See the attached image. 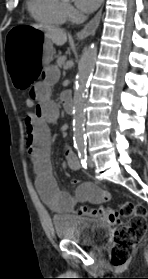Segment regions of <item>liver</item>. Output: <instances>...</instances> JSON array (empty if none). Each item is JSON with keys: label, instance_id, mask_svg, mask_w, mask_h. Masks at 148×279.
I'll use <instances>...</instances> for the list:
<instances>
[{"label": "liver", "instance_id": "6515ba94", "mask_svg": "<svg viewBox=\"0 0 148 279\" xmlns=\"http://www.w3.org/2000/svg\"><path fill=\"white\" fill-rule=\"evenodd\" d=\"M31 27L43 31L45 33L46 38L57 46H62L67 41V34L63 29L54 26L39 24H34Z\"/></svg>", "mask_w": 148, "mask_h": 279}]
</instances>
